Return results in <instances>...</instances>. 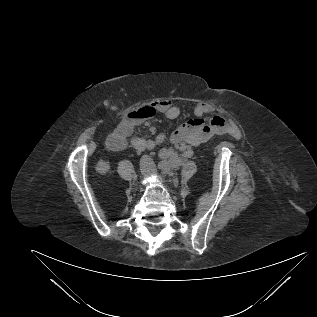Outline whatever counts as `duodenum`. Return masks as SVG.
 <instances>
[{"label": "duodenum", "instance_id": "1", "mask_svg": "<svg viewBox=\"0 0 317 317\" xmlns=\"http://www.w3.org/2000/svg\"><path fill=\"white\" fill-rule=\"evenodd\" d=\"M117 142H118V140H117V139H114V140H113V143H114V144H116Z\"/></svg>", "mask_w": 317, "mask_h": 317}]
</instances>
